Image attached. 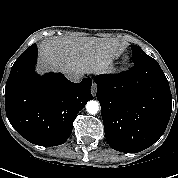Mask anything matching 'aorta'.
I'll use <instances>...</instances> for the list:
<instances>
[{"mask_svg": "<svg viewBox=\"0 0 178 178\" xmlns=\"http://www.w3.org/2000/svg\"><path fill=\"white\" fill-rule=\"evenodd\" d=\"M86 110L90 114H96L99 110V103L97 101H89L86 105Z\"/></svg>", "mask_w": 178, "mask_h": 178, "instance_id": "aorta-1", "label": "aorta"}]
</instances>
